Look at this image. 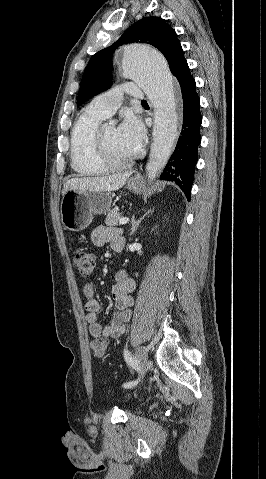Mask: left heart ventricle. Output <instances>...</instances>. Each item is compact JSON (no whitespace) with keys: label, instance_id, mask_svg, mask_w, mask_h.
<instances>
[{"label":"left heart ventricle","instance_id":"obj_1","mask_svg":"<svg viewBox=\"0 0 266 479\" xmlns=\"http://www.w3.org/2000/svg\"><path fill=\"white\" fill-rule=\"evenodd\" d=\"M106 145L111 157L117 161H124L130 156L123 149L119 136L118 129L115 127H105L103 129Z\"/></svg>","mask_w":266,"mask_h":479}]
</instances>
